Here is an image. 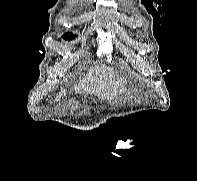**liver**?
Here are the masks:
<instances>
[{
	"instance_id": "1",
	"label": "liver",
	"mask_w": 197,
	"mask_h": 181,
	"mask_svg": "<svg viewBox=\"0 0 197 181\" xmlns=\"http://www.w3.org/2000/svg\"><path fill=\"white\" fill-rule=\"evenodd\" d=\"M124 84L125 81L119 78L112 68L101 65L91 67L86 77L80 80L75 89L85 95L94 94L99 99L112 100L127 90ZM58 100L59 97L57 96Z\"/></svg>"
}]
</instances>
